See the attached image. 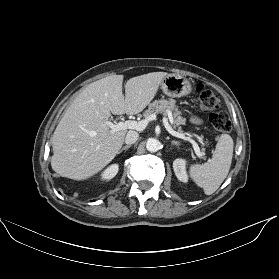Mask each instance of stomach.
Returning <instances> with one entry per match:
<instances>
[{
    "mask_svg": "<svg viewBox=\"0 0 279 279\" xmlns=\"http://www.w3.org/2000/svg\"><path fill=\"white\" fill-rule=\"evenodd\" d=\"M160 86L164 94L173 98H179L191 92L189 80L178 74L167 75Z\"/></svg>",
    "mask_w": 279,
    "mask_h": 279,
    "instance_id": "stomach-1",
    "label": "stomach"
}]
</instances>
